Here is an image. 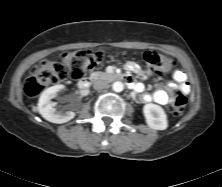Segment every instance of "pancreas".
<instances>
[{
    "label": "pancreas",
    "mask_w": 222,
    "mask_h": 187,
    "mask_svg": "<svg viewBox=\"0 0 222 187\" xmlns=\"http://www.w3.org/2000/svg\"><path fill=\"white\" fill-rule=\"evenodd\" d=\"M98 77L105 78V79H110V78L114 77V75L108 74V73H105V72H94V73L91 74V78H93V79H96Z\"/></svg>",
    "instance_id": "pancreas-1"
}]
</instances>
